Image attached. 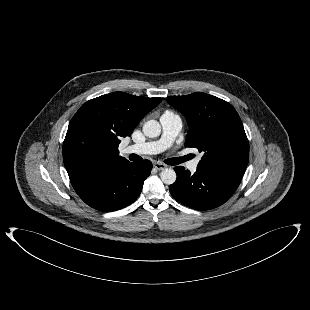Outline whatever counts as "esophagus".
I'll return each mask as SVG.
<instances>
[{
  "label": "esophagus",
  "mask_w": 310,
  "mask_h": 310,
  "mask_svg": "<svg viewBox=\"0 0 310 310\" xmlns=\"http://www.w3.org/2000/svg\"><path fill=\"white\" fill-rule=\"evenodd\" d=\"M153 167L157 170H164L167 166L165 164L159 163V162H155L153 164Z\"/></svg>",
  "instance_id": "esophagus-1"
}]
</instances>
